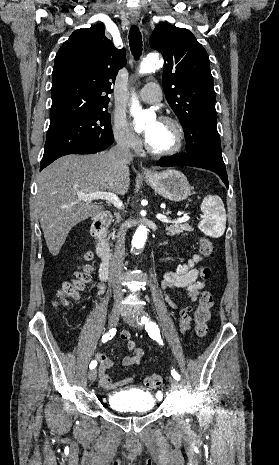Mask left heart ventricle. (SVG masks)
<instances>
[{
	"label": "left heart ventricle",
	"instance_id": "obj_1",
	"mask_svg": "<svg viewBox=\"0 0 279 465\" xmlns=\"http://www.w3.org/2000/svg\"><path fill=\"white\" fill-rule=\"evenodd\" d=\"M144 132L149 146L156 151L168 150L175 144L176 132L167 123L153 120L145 126Z\"/></svg>",
	"mask_w": 279,
	"mask_h": 465
}]
</instances>
